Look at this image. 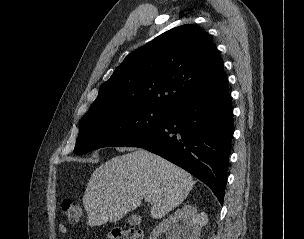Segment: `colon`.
Segmentation results:
<instances>
[{
  "label": "colon",
  "instance_id": "obj_1",
  "mask_svg": "<svg viewBox=\"0 0 304 239\" xmlns=\"http://www.w3.org/2000/svg\"><path fill=\"white\" fill-rule=\"evenodd\" d=\"M63 213L70 223H77L83 215L82 206L73 200L62 202ZM108 239H142V233L127 227H117L109 232Z\"/></svg>",
  "mask_w": 304,
  "mask_h": 239
}]
</instances>
